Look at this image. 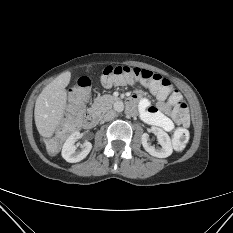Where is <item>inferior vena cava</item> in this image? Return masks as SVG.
<instances>
[{
    "label": "inferior vena cava",
    "mask_w": 233,
    "mask_h": 233,
    "mask_svg": "<svg viewBox=\"0 0 233 233\" xmlns=\"http://www.w3.org/2000/svg\"><path fill=\"white\" fill-rule=\"evenodd\" d=\"M116 117V112L114 110H108L104 115H103V120L104 121H110Z\"/></svg>",
    "instance_id": "602c4592"
}]
</instances>
